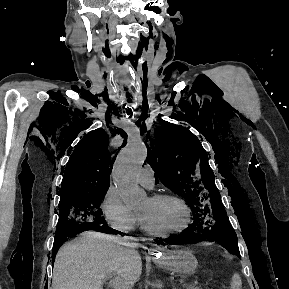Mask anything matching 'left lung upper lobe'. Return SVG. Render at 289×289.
I'll return each mask as SVG.
<instances>
[{
    "label": "left lung upper lobe",
    "mask_w": 289,
    "mask_h": 289,
    "mask_svg": "<svg viewBox=\"0 0 289 289\" xmlns=\"http://www.w3.org/2000/svg\"><path fill=\"white\" fill-rule=\"evenodd\" d=\"M160 124L163 127L155 129L147 155L156 181L160 180L186 199L194 217L192 225L212 229L215 241L240 256L236 233L228 222L214 173L200 141L182 126Z\"/></svg>",
    "instance_id": "1"
}]
</instances>
